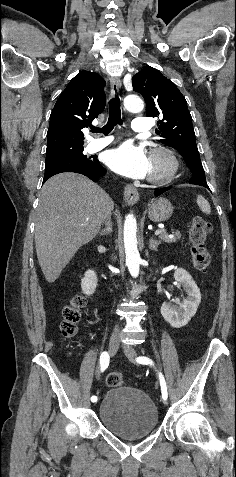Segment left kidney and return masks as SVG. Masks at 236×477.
I'll list each match as a JSON object with an SVG mask.
<instances>
[{
	"label": "left kidney",
	"instance_id": "obj_1",
	"mask_svg": "<svg viewBox=\"0 0 236 477\" xmlns=\"http://www.w3.org/2000/svg\"><path fill=\"white\" fill-rule=\"evenodd\" d=\"M174 278L183 286L188 297L182 302L177 298L174 299L173 302L176 305L164 302L161 306V314L172 327L181 328L196 314L201 302V293L191 275L183 268L175 270Z\"/></svg>",
	"mask_w": 236,
	"mask_h": 477
}]
</instances>
